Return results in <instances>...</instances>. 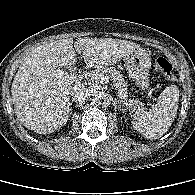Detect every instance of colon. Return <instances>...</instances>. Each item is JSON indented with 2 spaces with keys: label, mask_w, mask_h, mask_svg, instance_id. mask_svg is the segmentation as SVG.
<instances>
[{
  "label": "colon",
  "mask_w": 195,
  "mask_h": 195,
  "mask_svg": "<svg viewBox=\"0 0 195 195\" xmlns=\"http://www.w3.org/2000/svg\"><path fill=\"white\" fill-rule=\"evenodd\" d=\"M154 67L163 74L166 80L174 81V64L170 59L160 56L155 60Z\"/></svg>",
  "instance_id": "colon-1"
}]
</instances>
